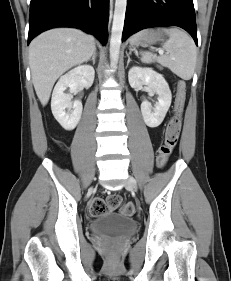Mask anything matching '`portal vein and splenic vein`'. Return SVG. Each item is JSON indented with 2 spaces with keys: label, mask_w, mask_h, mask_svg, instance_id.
<instances>
[{
  "label": "portal vein and splenic vein",
  "mask_w": 231,
  "mask_h": 281,
  "mask_svg": "<svg viewBox=\"0 0 231 281\" xmlns=\"http://www.w3.org/2000/svg\"><path fill=\"white\" fill-rule=\"evenodd\" d=\"M164 53V51L163 50H159V54H163Z\"/></svg>",
  "instance_id": "1"
}]
</instances>
